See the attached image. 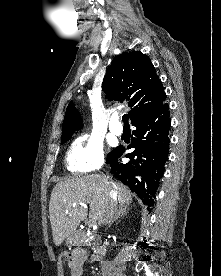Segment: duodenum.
<instances>
[{"label":"duodenum","instance_id":"duodenum-1","mask_svg":"<svg viewBox=\"0 0 221 276\" xmlns=\"http://www.w3.org/2000/svg\"><path fill=\"white\" fill-rule=\"evenodd\" d=\"M105 252V248L101 245H98L96 248H95V256L97 258H99L101 255H103Z\"/></svg>","mask_w":221,"mask_h":276}]
</instances>
